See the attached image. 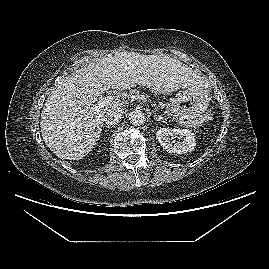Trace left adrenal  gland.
Wrapping results in <instances>:
<instances>
[{"mask_svg":"<svg viewBox=\"0 0 269 269\" xmlns=\"http://www.w3.org/2000/svg\"><path fill=\"white\" fill-rule=\"evenodd\" d=\"M154 119L156 121H163L164 122V120H163V118L161 116H156Z\"/></svg>","mask_w":269,"mask_h":269,"instance_id":"left-adrenal-gland-1","label":"left adrenal gland"}]
</instances>
